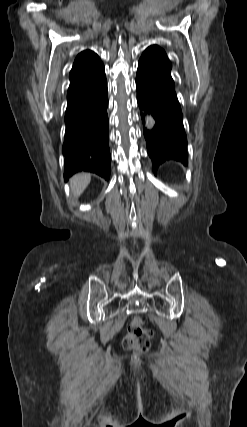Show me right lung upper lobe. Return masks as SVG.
<instances>
[{"mask_svg": "<svg viewBox=\"0 0 247 427\" xmlns=\"http://www.w3.org/2000/svg\"><path fill=\"white\" fill-rule=\"evenodd\" d=\"M103 67L100 58L93 51L85 50L75 59L70 72V85L88 78Z\"/></svg>", "mask_w": 247, "mask_h": 427, "instance_id": "1", "label": "right lung upper lobe"}]
</instances>
